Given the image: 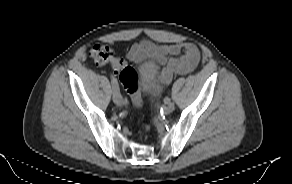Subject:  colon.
I'll return each mask as SVG.
<instances>
[{
	"mask_svg": "<svg viewBox=\"0 0 292 184\" xmlns=\"http://www.w3.org/2000/svg\"><path fill=\"white\" fill-rule=\"evenodd\" d=\"M90 56L99 65L111 62L115 58L112 49L105 45H95L90 51ZM137 77V72L127 65L119 71L120 81L130 94L133 105L136 108H140L142 101L137 85ZM145 128L148 129V126H145Z\"/></svg>",
	"mask_w": 292,
	"mask_h": 184,
	"instance_id": "5ec220e1",
	"label": "colon"
}]
</instances>
